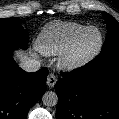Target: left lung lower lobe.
I'll return each instance as SVG.
<instances>
[{"instance_id": "left-lung-lower-lobe-1", "label": "left lung lower lobe", "mask_w": 119, "mask_h": 119, "mask_svg": "<svg viewBox=\"0 0 119 119\" xmlns=\"http://www.w3.org/2000/svg\"><path fill=\"white\" fill-rule=\"evenodd\" d=\"M55 91L56 119H119V57L63 73Z\"/></svg>"}]
</instances>
